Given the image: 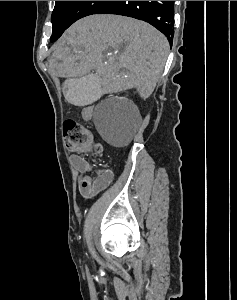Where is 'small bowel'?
Segmentation results:
<instances>
[{
    "instance_id": "c3829d8e",
    "label": "small bowel",
    "mask_w": 237,
    "mask_h": 300,
    "mask_svg": "<svg viewBox=\"0 0 237 300\" xmlns=\"http://www.w3.org/2000/svg\"><path fill=\"white\" fill-rule=\"evenodd\" d=\"M92 114L93 108L91 106H85L82 109L81 116L84 120L91 119ZM71 162L80 174L78 177V191L84 199L91 198L105 190L114 179V173L109 168L99 169L94 175L90 174L92 171L91 164L79 155H72Z\"/></svg>"
}]
</instances>
